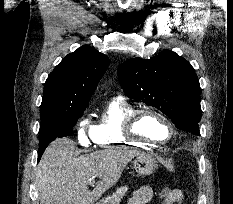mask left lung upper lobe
Returning <instances> with one entry per match:
<instances>
[{"mask_svg":"<svg viewBox=\"0 0 233 204\" xmlns=\"http://www.w3.org/2000/svg\"><path fill=\"white\" fill-rule=\"evenodd\" d=\"M118 78L127 97L158 108L177 129L200 135V84L184 58L169 50L148 60L133 58L119 66Z\"/></svg>","mask_w":233,"mask_h":204,"instance_id":"5c2ea615","label":"left lung upper lobe"}]
</instances>
